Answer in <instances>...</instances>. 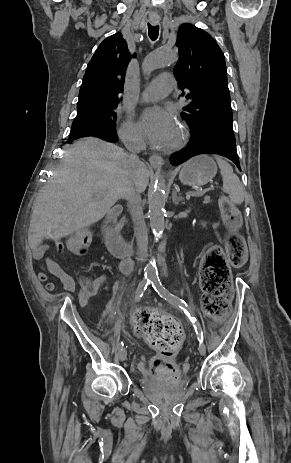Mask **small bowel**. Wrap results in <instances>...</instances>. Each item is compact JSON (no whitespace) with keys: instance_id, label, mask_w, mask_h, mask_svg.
<instances>
[{"instance_id":"obj_1","label":"small bowel","mask_w":291,"mask_h":463,"mask_svg":"<svg viewBox=\"0 0 291 463\" xmlns=\"http://www.w3.org/2000/svg\"><path fill=\"white\" fill-rule=\"evenodd\" d=\"M55 244H56L57 251L59 253H62L64 251V244L62 242H56ZM66 247L69 249L68 240L66 241ZM87 249H88V245L86 246L84 250L80 252H74V253L77 255H83L87 252ZM45 251H46V247L35 245L33 247V257L35 259H40L44 256ZM45 263H46L47 271L61 282L66 292H69V293L75 292V289H76L75 280L62 268V266L55 259H53L50 256H47L45 258ZM132 267H133L132 261L129 258H127V256L121 257L120 269L123 273H126V274L131 273ZM38 279L41 282H46L48 279L47 274L45 272H39ZM103 280L104 278L100 277L98 281L102 282ZM45 287L48 291H54L56 288L53 282H47ZM119 288H120V283L116 282L113 286V298L115 297ZM78 300H79V304L81 307H86L88 305V298L84 290H82L79 293ZM111 310H112V301H110L106 305L101 315L99 316L100 323L105 322L109 319V317L111 316Z\"/></svg>"}]
</instances>
